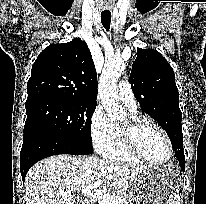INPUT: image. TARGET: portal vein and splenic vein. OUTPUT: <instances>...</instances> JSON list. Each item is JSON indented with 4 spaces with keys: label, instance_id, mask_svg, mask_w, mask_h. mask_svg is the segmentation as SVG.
I'll list each match as a JSON object with an SVG mask.
<instances>
[{
    "label": "portal vein and splenic vein",
    "instance_id": "obj_1",
    "mask_svg": "<svg viewBox=\"0 0 206 204\" xmlns=\"http://www.w3.org/2000/svg\"><path fill=\"white\" fill-rule=\"evenodd\" d=\"M101 183V179H98L93 185L83 187L80 190L81 194L97 199L99 204H120L122 199L120 196L112 197L109 193L97 189ZM61 194L64 196L71 195V193L67 192H62Z\"/></svg>",
    "mask_w": 206,
    "mask_h": 204
}]
</instances>
